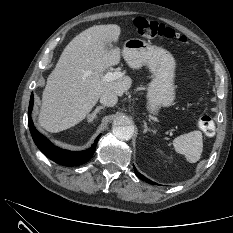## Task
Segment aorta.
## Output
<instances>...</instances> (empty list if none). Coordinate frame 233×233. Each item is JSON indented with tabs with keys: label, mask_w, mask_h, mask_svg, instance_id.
Returning a JSON list of instances; mask_svg holds the SVG:
<instances>
[{
	"label": "aorta",
	"mask_w": 233,
	"mask_h": 233,
	"mask_svg": "<svg viewBox=\"0 0 233 233\" xmlns=\"http://www.w3.org/2000/svg\"><path fill=\"white\" fill-rule=\"evenodd\" d=\"M113 134L120 140H129L134 133V127L127 116H118L113 121Z\"/></svg>",
	"instance_id": "762f6f07"
}]
</instances>
